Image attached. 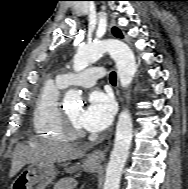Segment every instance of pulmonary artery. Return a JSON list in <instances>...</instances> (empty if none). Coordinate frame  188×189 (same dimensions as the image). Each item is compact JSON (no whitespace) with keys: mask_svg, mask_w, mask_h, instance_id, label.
<instances>
[{"mask_svg":"<svg viewBox=\"0 0 188 189\" xmlns=\"http://www.w3.org/2000/svg\"><path fill=\"white\" fill-rule=\"evenodd\" d=\"M104 76V71L101 68H91L79 74H62L59 75L56 81L63 87L81 86L91 87L95 85Z\"/></svg>","mask_w":188,"mask_h":189,"instance_id":"pulmonary-artery-1","label":"pulmonary artery"}]
</instances>
